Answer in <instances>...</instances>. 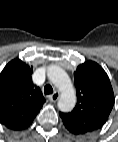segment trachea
Wrapping results in <instances>:
<instances>
[{
  "instance_id": "obj_1",
  "label": "trachea",
  "mask_w": 118,
  "mask_h": 142,
  "mask_svg": "<svg viewBox=\"0 0 118 142\" xmlns=\"http://www.w3.org/2000/svg\"><path fill=\"white\" fill-rule=\"evenodd\" d=\"M44 93H45L46 95L52 94V93H53V88H52V86H51V85H46V86L44 87Z\"/></svg>"
}]
</instances>
